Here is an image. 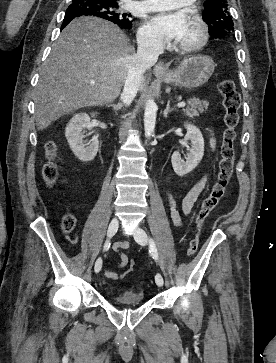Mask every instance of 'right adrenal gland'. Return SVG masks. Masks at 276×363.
Instances as JSON below:
<instances>
[{
	"instance_id": "obj_1",
	"label": "right adrenal gland",
	"mask_w": 276,
	"mask_h": 363,
	"mask_svg": "<svg viewBox=\"0 0 276 363\" xmlns=\"http://www.w3.org/2000/svg\"><path fill=\"white\" fill-rule=\"evenodd\" d=\"M107 107H112L115 112H118L122 108V103L115 104H109Z\"/></svg>"
}]
</instances>
